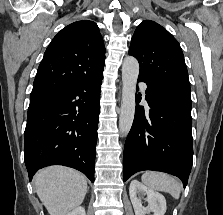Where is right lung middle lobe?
<instances>
[{
  "mask_svg": "<svg viewBox=\"0 0 223 215\" xmlns=\"http://www.w3.org/2000/svg\"><path fill=\"white\" fill-rule=\"evenodd\" d=\"M50 96H30V102L46 99Z\"/></svg>",
  "mask_w": 223,
  "mask_h": 215,
  "instance_id": "right-lung-middle-lobe-1",
  "label": "right lung middle lobe"
}]
</instances>
